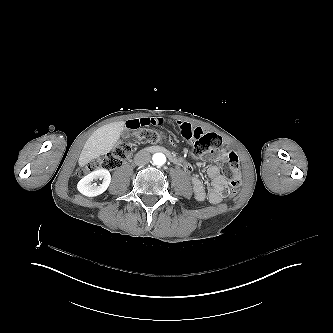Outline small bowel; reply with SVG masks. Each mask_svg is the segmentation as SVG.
<instances>
[{"instance_id": "1", "label": "small bowel", "mask_w": 333, "mask_h": 333, "mask_svg": "<svg viewBox=\"0 0 333 333\" xmlns=\"http://www.w3.org/2000/svg\"><path fill=\"white\" fill-rule=\"evenodd\" d=\"M165 120L162 117H142L133 120H126V125L131 128L144 127V126H160L163 125ZM178 125L182 130H187L190 132L203 133L200 128L192 127L188 123L178 122ZM179 160V165H182L186 173L192 171V166L180 156H174ZM226 160V153L220 152L216 156V164L210 165L207 168V175L210 178V182L205 186L203 181L197 175L192 177L193 192L196 200L203 201L206 198L212 204H219L222 200L230 193L229 182L227 178L220 174L219 165Z\"/></svg>"}]
</instances>
